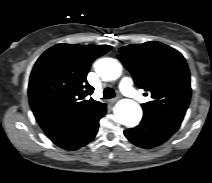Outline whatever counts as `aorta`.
I'll return each instance as SVG.
<instances>
[{"label":"aorta","mask_w":212,"mask_h":183,"mask_svg":"<svg viewBox=\"0 0 212 183\" xmlns=\"http://www.w3.org/2000/svg\"><path fill=\"white\" fill-rule=\"evenodd\" d=\"M97 72L105 81L117 79L121 74V65L114 59H101L97 64ZM118 121L127 126H136L142 117V110L138 103L130 99L120 100L114 108Z\"/></svg>","instance_id":"762f6f07"}]
</instances>
